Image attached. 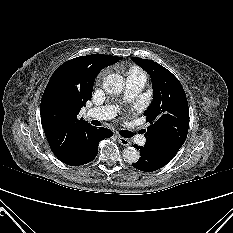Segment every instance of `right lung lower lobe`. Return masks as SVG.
Masks as SVG:
<instances>
[{
	"instance_id": "98d812e1",
	"label": "right lung lower lobe",
	"mask_w": 233,
	"mask_h": 233,
	"mask_svg": "<svg viewBox=\"0 0 233 233\" xmlns=\"http://www.w3.org/2000/svg\"><path fill=\"white\" fill-rule=\"evenodd\" d=\"M112 135L113 132L107 128H96L92 126L85 129L79 135L68 153L56 157L63 163L71 166L89 163L97 155L99 142Z\"/></svg>"
}]
</instances>
